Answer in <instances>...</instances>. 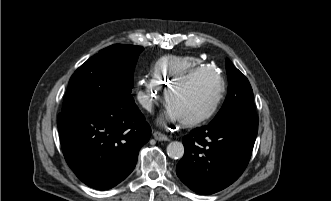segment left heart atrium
Wrapping results in <instances>:
<instances>
[{
  "label": "left heart atrium",
  "instance_id": "obj_1",
  "mask_svg": "<svg viewBox=\"0 0 331 201\" xmlns=\"http://www.w3.org/2000/svg\"><path fill=\"white\" fill-rule=\"evenodd\" d=\"M168 118L175 120V119H179L180 116L177 114V112L172 107H169Z\"/></svg>",
  "mask_w": 331,
  "mask_h": 201
}]
</instances>
